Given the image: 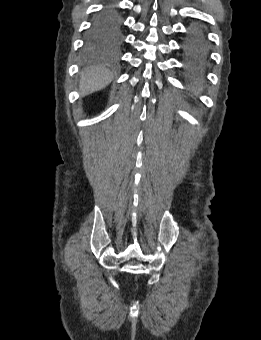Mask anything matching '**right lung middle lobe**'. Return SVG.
<instances>
[{
  "mask_svg": "<svg viewBox=\"0 0 261 340\" xmlns=\"http://www.w3.org/2000/svg\"><path fill=\"white\" fill-rule=\"evenodd\" d=\"M122 19L119 14L100 12L92 22L87 33V44L98 45L107 41L117 40L121 36Z\"/></svg>",
  "mask_w": 261,
  "mask_h": 340,
  "instance_id": "obj_1",
  "label": "right lung middle lobe"
}]
</instances>
